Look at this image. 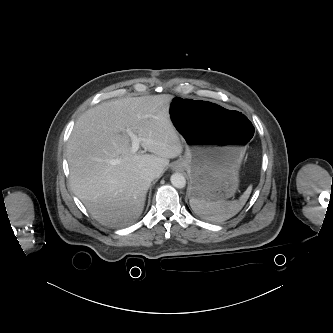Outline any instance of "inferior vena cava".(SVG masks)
Masks as SVG:
<instances>
[{
	"label": "inferior vena cava",
	"mask_w": 333,
	"mask_h": 333,
	"mask_svg": "<svg viewBox=\"0 0 333 333\" xmlns=\"http://www.w3.org/2000/svg\"><path fill=\"white\" fill-rule=\"evenodd\" d=\"M139 175L142 180L151 182L158 176V172L153 169H143Z\"/></svg>",
	"instance_id": "inferior-vena-cava-1"
}]
</instances>
